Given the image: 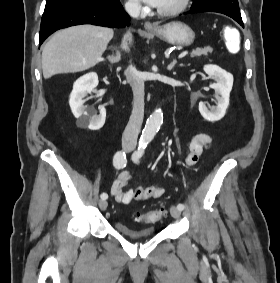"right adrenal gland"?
<instances>
[{"mask_svg": "<svg viewBox=\"0 0 280 283\" xmlns=\"http://www.w3.org/2000/svg\"><path fill=\"white\" fill-rule=\"evenodd\" d=\"M107 59L110 61L111 64L118 63L121 59V54L119 51H116V55L108 56Z\"/></svg>", "mask_w": 280, "mask_h": 283, "instance_id": "2a0ac1e0", "label": "right adrenal gland"}]
</instances>
